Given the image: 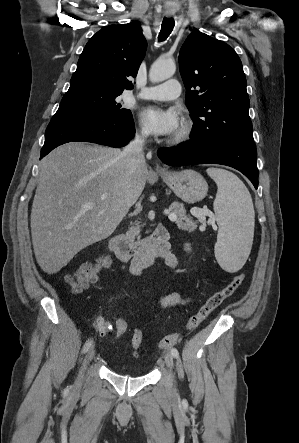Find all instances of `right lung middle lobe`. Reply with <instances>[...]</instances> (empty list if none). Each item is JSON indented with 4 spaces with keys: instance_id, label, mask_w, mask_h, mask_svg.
Returning a JSON list of instances; mask_svg holds the SVG:
<instances>
[{
    "instance_id": "dd1d6c3e",
    "label": "right lung middle lobe",
    "mask_w": 299,
    "mask_h": 443,
    "mask_svg": "<svg viewBox=\"0 0 299 443\" xmlns=\"http://www.w3.org/2000/svg\"><path fill=\"white\" fill-rule=\"evenodd\" d=\"M121 94L101 88H69L53 118L101 120L131 116L130 110L118 103Z\"/></svg>"
}]
</instances>
